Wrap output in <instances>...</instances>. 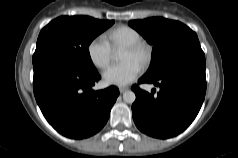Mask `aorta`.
Returning a JSON list of instances; mask_svg holds the SVG:
<instances>
[{
  "instance_id": "obj_1",
  "label": "aorta",
  "mask_w": 238,
  "mask_h": 158,
  "mask_svg": "<svg viewBox=\"0 0 238 158\" xmlns=\"http://www.w3.org/2000/svg\"><path fill=\"white\" fill-rule=\"evenodd\" d=\"M136 99V95L133 91H125L123 93V100L126 102V103H129V104H132Z\"/></svg>"
}]
</instances>
